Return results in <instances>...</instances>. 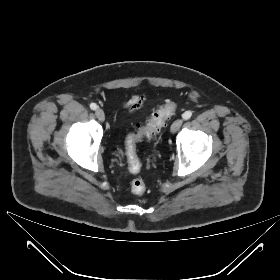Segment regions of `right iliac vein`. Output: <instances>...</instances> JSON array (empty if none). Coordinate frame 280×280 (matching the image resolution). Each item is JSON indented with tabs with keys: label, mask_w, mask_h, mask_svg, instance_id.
<instances>
[{
	"label": "right iliac vein",
	"mask_w": 280,
	"mask_h": 280,
	"mask_svg": "<svg viewBox=\"0 0 280 280\" xmlns=\"http://www.w3.org/2000/svg\"><path fill=\"white\" fill-rule=\"evenodd\" d=\"M95 115L99 121L103 122L105 120V113L102 109L100 108L96 109Z\"/></svg>",
	"instance_id": "obj_1"
}]
</instances>
